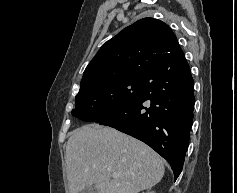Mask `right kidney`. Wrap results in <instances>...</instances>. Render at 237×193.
Wrapping results in <instances>:
<instances>
[{
    "instance_id": "ca27d5eb",
    "label": "right kidney",
    "mask_w": 237,
    "mask_h": 193,
    "mask_svg": "<svg viewBox=\"0 0 237 193\" xmlns=\"http://www.w3.org/2000/svg\"><path fill=\"white\" fill-rule=\"evenodd\" d=\"M143 193H155V192H153V191H151V192H150V191H148V192H143Z\"/></svg>"
}]
</instances>
